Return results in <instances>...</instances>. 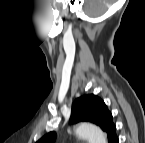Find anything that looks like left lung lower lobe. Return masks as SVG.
<instances>
[{
    "label": "left lung lower lobe",
    "instance_id": "0a47b994",
    "mask_svg": "<svg viewBox=\"0 0 145 143\" xmlns=\"http://www.w3.org/2000/svg\"><path fill=\"white\" fill-rule=\"evenodd\" d=\"M110 143H119L117 136Z\"/></svg>",
    "mask_w": 145,
    "mask_h": 143
}]
</instances>
